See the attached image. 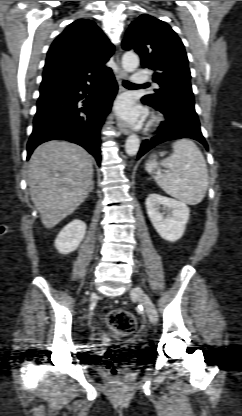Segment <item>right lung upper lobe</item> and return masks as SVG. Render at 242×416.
I'll return each mask as SVG.
<instances>
[{"label": "right lung upper lobe", "instance_id": "obj_1", "mask_svg": "<svg viewBox=\"0 0 242 416\" xmlns=\"http://www.w3.org/2000/svg\"><path fill=\"white\" fill-rule=\"evenodd\" d=\"M114 46L91 20L79 19L54 40L43 72L40 93L86 83L109 73L105 63Z\"/></svg>", "mask_w": 242, "mask_h": 416}]
</instances>
